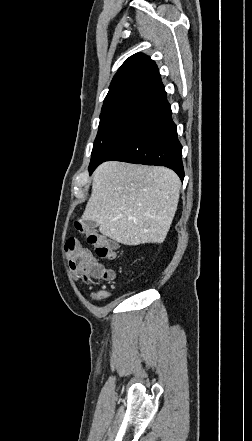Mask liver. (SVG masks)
<instances>
[{
  "instance_id": "obj_1",
  "label": "liver",
  "mask_w": 252,
  "mask_h": 441,
  "mask_svg": "<svg viewBox=\"0 0 252 441\" xmlns=\"http://www.w3.org/2000/svg\"><path fill=\"white\" fill-rule=\"evenodd\" d=\"M180 189L171 169L104 162L93 174L82 220L97 222L100 233L124 245L159 244L172 224Z\"/></svg>"
}]
</instances>
